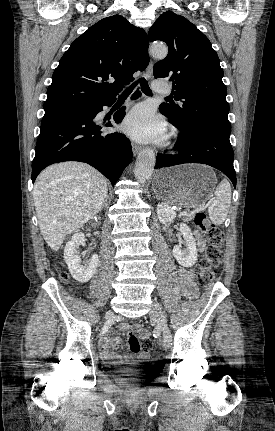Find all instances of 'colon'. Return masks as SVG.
Instances as JSON below:
<instances>
[{"label": "colon", "instance_id": "obj_1", "mask_svg": "<svg viewBox=\"0 0 275 431\" xmlns=\"http://www.w3.org/2000/svg\"><path fill=\"white\" fill-rule=\"evenodd\" d=\"M194 223L208 238V246L204 257L199 262L197 273L198 283L204 287L213 281L216 276V269L223 260L224 233L218 226L212 224L203 212L195 215ZM62 279L67 280V274L63 273ZM128 346L132 353L139 354L142 358H147L153 349V342L145 340L141 343L135 333L129 332Z\"/></svg>", "mask_w": 275, "mask_h": 431}]
</instances>
